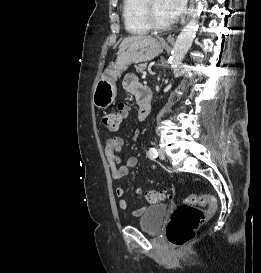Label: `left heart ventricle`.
I'll return each instance as SVG.
<instances>
[{
  "mask_svg": "<svg viewBox=\"0 0 261 273\" xmlns=\"http://www.w3.org/2000/svg\"><path fill=\"white\" fill-rule=\"evenodd\" d=\"M153 11L159 23L161 24L171 23L167 9H166L165 0H154Z\"/></svg>",
  "mask_w": 261,
  "mask_h": 273,
  "instance_id": "1",
  "label": "left heart ventricle"
}]
</instances>
